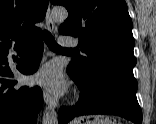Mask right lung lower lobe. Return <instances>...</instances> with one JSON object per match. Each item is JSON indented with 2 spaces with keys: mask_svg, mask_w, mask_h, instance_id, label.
Instances as JSON below:
<instances>
[{
  "mask_svg": "<svg viewBox=\"0 0 156 124\" xmlns=\"http://www.w3.org/2000/svg\"><path fill=\"white\" fill-rule=\"evenodd\" d=\"M11 50L21 57L28 55L17 68L23 74H32L38 69L43 51L41 35L22 46L0 47V124H36L43 93L39 87H14L17 81L7 79L14 76L8 64Z\"/></svg>",
  "mask_w": 156,
  "mask_h": 124,
  "instance_id": "right-lung-lower-lobe-1",
  "label": "right lung lower lobe"
}]
</instances>
